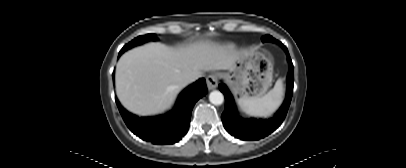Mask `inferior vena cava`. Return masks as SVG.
<instances>
[{
  "label": "inferior vena cava",
  "mask_w": 406,
  "mask_h": 168,
  "mask_svg": "<svg viewBox=\"0 0 406 168\" xmlns=\"http://www.w3.org/2000/svg\"><path fill=\"white\" fill-rule=\"evenodd\" d=\"M198 78H199L198 74H188L183 77L182 82L186 85L197 80Z\"/></svg>",
  "instance_id": "602c4592"
}]
</instances>
